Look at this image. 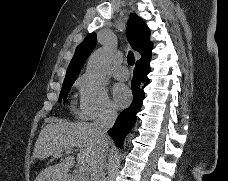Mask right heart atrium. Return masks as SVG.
Here are the masks:
<instances>
[{
  "label": "right heart atrium",
  "instance_id": "d8ad5b80",
  "mask_svg": "<svg viewBox=\"0 0 228 181\" xmlns=\"http://www.w3.org/2000/svg\"><path fill=\"white\" fill-rule=\"evenodd\" d=\"M114 112L106 87L94 75L83 81L80 98L79 117L84 120H96Z\"/></svg>",
  "mask_w": 228,
  "mask_h": 181
}]
</instances>
